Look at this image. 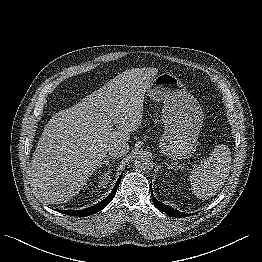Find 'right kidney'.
I'll list each match as a JSON object with an SVG mask.
<instances>
[{"label": "right kidney", "instance_id": "obj_1", "mask_svg": "<svg viewBox=\"0 0 262 262\" xmlns=\"http://www.w3.org/2000/svg\"><path fill=\"white\" fill-rule=\"evenodd\" d=\"M109 179H110L109 173L102 175L101 180L99 181L98 187L104 188L109 183V181H108Z\"/></svg>", "mask_w": 262, "mask_h": 262}]
</instances>
